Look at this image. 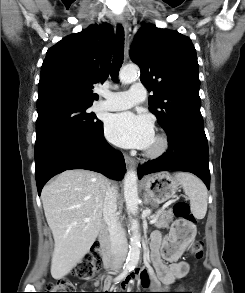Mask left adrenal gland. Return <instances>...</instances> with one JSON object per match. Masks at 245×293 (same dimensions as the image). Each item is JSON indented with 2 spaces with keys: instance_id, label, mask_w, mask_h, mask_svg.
Returning a JSON list of instances; mask_svg holds the SVG:
<instances>
[{
  "instance_id": "a2214340",
  "label": "left adrenal gland",
  "mask_w": 245,
  "mask_h": 293,
  "mask_svg": "<svg viewBox=\"0 0 245 293\" xmlns=\"http://www.w3.org/2000/svg\"><path fill=\"white\" fill-rule=\"evenodd\" d=\"M144 203L146 205L149 204V203H151L146 194L144 195Z\"/></svg>"
}]
</instances>
